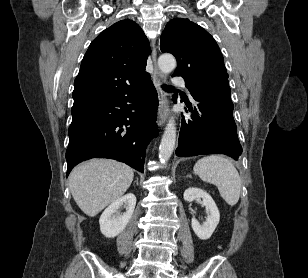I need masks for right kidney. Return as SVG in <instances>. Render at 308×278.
<instances>
[{
    "label": "right kidney",
    "instance_id": "right-kidney-1",
    "mask_svg": "<svg viewBox=\"0 0 308 278\" xmlns=\"http://www.w3.org/2000/svg\"><path fill=\"white\" fill-rule=\"evenodd\" d=\"M135 205L136 197L132 193H128L111 203L99 219L101 233L107 238H113L119 235L129 223ZM122 206L126 209V212L120 215L119 209Z\"/></svg>",
    "mask_w": 308,
    "mask_h": 278
}]
</instances>
